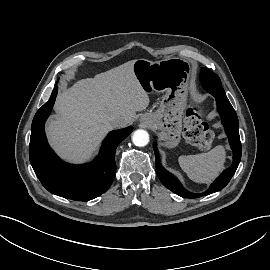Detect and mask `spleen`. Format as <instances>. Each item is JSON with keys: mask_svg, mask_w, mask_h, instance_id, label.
I'll list each match as a JSON object with an SVG mask.
<instances>
[{"mask_svg": "<svg viewBox=\"0 0 270 270\" xmlns=\"http://www.w3.org/2000/svg\"><path fill=\"white\" fill-rule=\"evenodd\" d=\"M226 152L223 146H216L207 153L182 155L178 162L187 176L197 183H211L224 167Z\"/></svg>", "mask_w": 270, "mask_h": 270, "instance_id": "1", "label": "spleen"}]
</instances>
